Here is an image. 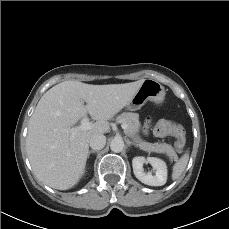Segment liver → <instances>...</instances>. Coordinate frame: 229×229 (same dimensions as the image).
Wrapping results in <instances>:
<instances>
[{"label": "liver", "instance_id": "6515ba94", "mask_svg": "<svg viewBox=\"0 0 229 229\" xmlns=\"http://www.w3.org/2000/svg\"><path fill=\"white\" fill-rule=\"evenodd\" d=\"M144 80L108 85L64 81L49 89L29 120L26 138L36 177L58 190L75 186L85 170L90 138L109 131L108 120L130 103ZM88 113L96 120L92 129L72 137L68 129Z\"/></svg>", "mask_w": 229, "mask_h": 229}]
</instances>
